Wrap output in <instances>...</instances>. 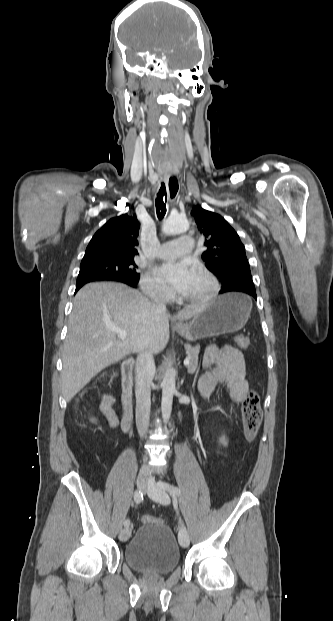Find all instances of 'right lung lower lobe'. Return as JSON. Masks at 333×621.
Returning a JSON list of instances; mask_svg holds the SVG:
<instances>
[{
    "instance_id": "right-lung-lower-lobe-1",
    "label": "right lung lower lobe",
    "mask_w": 333,
    "mask_h": 621,
    "mask_svg": "<svg viewBox=\"0 0 333 621\" xmlns=\"http://www.w3.org/2000/svg\"><path fill=\"white\" fill-rule=\"evenodd\" d=\"M100 280H102V279H97V278H89V277H87V278H79V279H77V284H76V290H75V293H76V292H77V291H78V290H79V289H80V288H81L84 284L89 283V282H92V281H100ZM112 281H119V282L125 283V284H127V285H129V286H132V287H135V288H136V286H137V284H135V283L126 282V281H123V280H112Z\"/></svg>"
}]
</instances>
